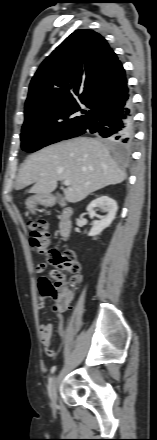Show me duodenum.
<instances>
[{
    "instance_id": "1",
    "label": "duodenum",
    "mask_w": 157,
    "mask_h": 440,
    "mask_svg": "<svg viewBox=\"0 0 157 440\" xmlns=\"http://www.w3.org/2000/svg\"><path fill=\"white\" fill-rule=\"evenodd\" d=\"M49 198H45L44 201H49ZM73 215V210L70 207H65L62 211V214L58 223L59 234L63 238H68L71 233V217Z\"/></svg>"
}]
</instances>
